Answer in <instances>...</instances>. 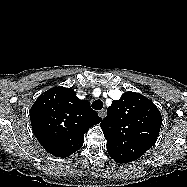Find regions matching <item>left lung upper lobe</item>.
I'll use <instances>...</instances> for the list:
<instances>
[{
	"label": "left lung upper lobe",
	"mask_w": 187,
	"mask_h": 187,
	"mask_svg": "<svg viewBox=\"0 0 187 187\" xmlns=\"http://www.w3.org/2000/svg\"><path fill=\"white\" fill-rule=\"evenodd\" d=\"M162 117L155 104L136 92L112 101L100 126L110 155L125 162L140 158L156 142Z\"/></svg>",
	"instance_id": "obj_1"
}]
</instances>
